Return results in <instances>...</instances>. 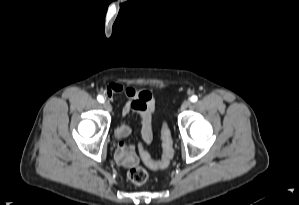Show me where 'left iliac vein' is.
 <instances>
[{
	"instance_id": "obj_1",
	"label": "left iliac vein",
	"mask_w": 299,
	"mask_h": 205,
	"mask_svg": "<svg viewBox=\"0 0 299 205\" xmlns=\"http://www.w3.org/2000/svg\"><path fill=\"white\" fill-rule=\"evenodd\" d=\"M191 105V101L190 100H185L182 105H181V110H185L187 109L189 106Z\"/></svg>"
}]
</instances>
